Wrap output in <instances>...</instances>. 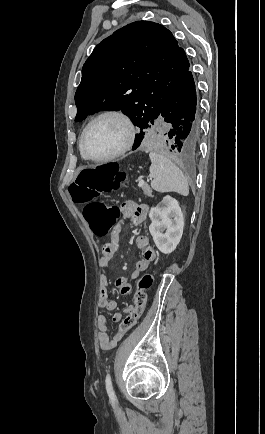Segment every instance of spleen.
I'll return each instance as SVG.
<instances>
[{
  "label": "spleen",
  "mask_w": 265,
  "mask_h": 434,
  "mask_svg": "<svg viewBox=\"0 0 265 434\" xmlns=\"http://www.w3.org/2000/svg\"><path fill=\"white\" fill-rule=\"evenodd\" d=\"M151 160L150 174L154 180L151 182V188L156 192H178L182 196H188V182L181 172L169 158L150 152Z\"/></svg>",
  "instance_id": "obj_1"
}]
</instances>
